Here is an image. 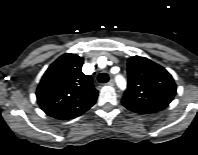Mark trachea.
<instances>
[{
	"label": "trachea",
	"instance_id": "3493384b",
	"mask_svg": "<svg viewBox=\"0 0 198 155\" xmlns=\"http://www.w3.org/2000/svg\"><path fill=\"white\" fill-rule=\"evenodd\" d=\"M98 81L99 83H106L109 81V76L106 73H100L98 75Z\"/></svg>",
	"mask_w": 198,
	"mask_h": 155
}]
</instances>
